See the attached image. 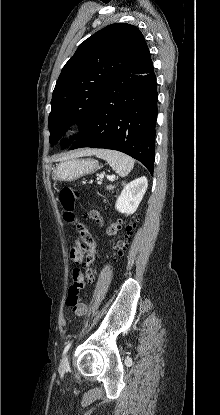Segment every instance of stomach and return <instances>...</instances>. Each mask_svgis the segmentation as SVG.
Listing matches in <instances>:
<instances>
[{
	"instance_id": "0dacf381",
	"label": "stomach",
	"mask_w": 220,
	"mask_h": 415,
	"mask_svg": "<svg viewBox=\"0 0 220 415\" xmlns=\"http://www.w3.org/2000/svg\"><path fill=\"white\" fill-rule=\"evenodd\" d=\"M99 169L98 161L94 159H71L60 163L54 173L57 180H75Z\"/></svg>"
}]
</instances>
